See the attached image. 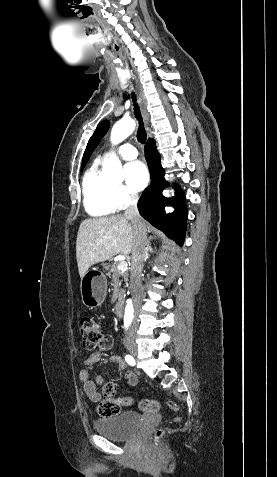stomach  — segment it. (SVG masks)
I'll use <instances>...</instances> for the list:
<instances>
[{"mask_svg":"<svg viewBox=\"0 0 277 477\" xmlns=\"http://www.w3.org/2000/svg\"><path fill=\"white\" fill-rule=\"evenodd\" d=\"M107 279L97 270H89L81 278L80 293L82 303L89 308L100 306L106 297Z\"/></svg>","mask_w":277,"mask_h":477,"instance_id":"1","label":"stomach"}]
</instances>
